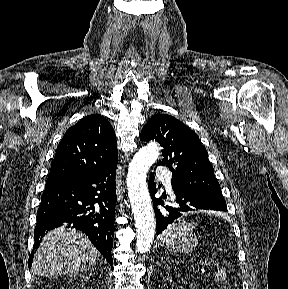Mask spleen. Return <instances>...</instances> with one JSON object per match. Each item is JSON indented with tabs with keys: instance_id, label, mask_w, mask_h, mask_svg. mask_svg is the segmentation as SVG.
Instances as JSON below:
<instances>
[{
	"instance_id": "3e777b00",
	"label": "spleen",
	"mask_w": 288,
	"mask_h": 289,
	"mask_svg": "<svg viewBox=\"0 0 288 289\" xmlns=\"http://www.w3.org/2000/svg\"><path fill=\"white\" fill-rule=\"evenodd\" d=\"M195 226L196 225L193 223H186L184 219H179L168 226V228L163 232L161 235V241L163 243L172 242L178 237L190 233Z\"/></svg>"
}]
</instances>
